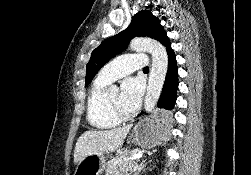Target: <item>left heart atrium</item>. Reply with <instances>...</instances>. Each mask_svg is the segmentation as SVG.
I'll return each instance as SVG.
<instances>
[{
  "mask_svg": "<svg viewBox=\"0 0 251 175\" xmlns=\"http://www.w3.org/2000/svg\"><path fill=\"white\" fill-rule=\"evenodd\" d=\"M144 93V84L139 77L126 78L121 86L120 103L124 111L134 113L138 110Z\"/></svg>",
  "mask_w": 251,
  "mask_h": 175,
  "instance_id": "left-heart-atrium-1",
  "label": "left heart atrium"
}]
</instances>
